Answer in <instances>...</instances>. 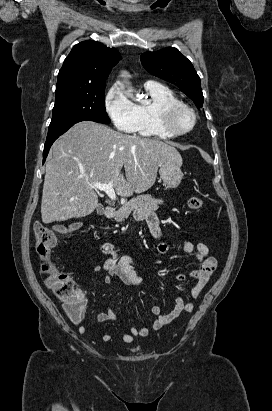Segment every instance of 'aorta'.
<instances>
[{"mask_svg": "<svg viewBox=\"0 0 272 411\" xmlns=\"http://www.w3.org/2000/svg\"><path fill=\"white\" fill-rule=\"evenodd\" d=\"M127 75H126V73L124 72L123 74H122V77H126ZM129 91H132V89H130Z\"/></svg>", "mask_w": 272, "mask_h": 411, "instance_id": "762f6f07", "label": "aorta"}]
</instances>
